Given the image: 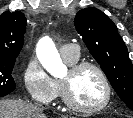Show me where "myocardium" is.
I'll return each mask as SVG.
<instances>
[{
	"label": "myocardium",
	"mask_w": 133,
	"mask_h": 118,
	"mask_svg": "<svg viewBox=\"0 0 133 118\" xmlns=\"http://www.w3.org/2000/svg\"><path fill=\"white\" fill-rule=\"evenodd\" d=\"M87 68L93 69L98 73L105 88V98L103 102L93 107L79 105L72 96V78ZM69 73L70 77L68 79L61 80V90L63 101L70 110L79 113L94 114L104 110L110 104L112 99V86L107 74L98 64L89 61L77 62L71 65Z\"/></svg>",
	"instance_id": "f54148a6"
}]
</instances>
